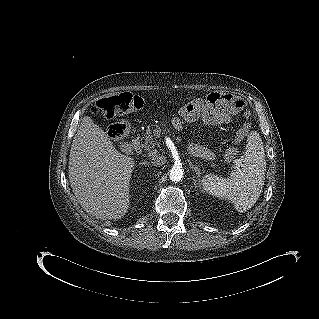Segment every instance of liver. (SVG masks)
Instances as JSON below:
<instances>
[{"label":"liver","mask_w":319,"mask_h":319,"mask_svg":"<svg viewBox=\"0 0 319 319\" xmlns=\"http://www.w3.org/2000/svg\"><path fill=\"white\" fill-rule=\"evenodd\" d=\"M133 158L121 154L89 116L82 119L69 155V181L82 208L97 219H120L130 205Z\"/></svg>","instance_id":"6515ba94"}]
</instances>
